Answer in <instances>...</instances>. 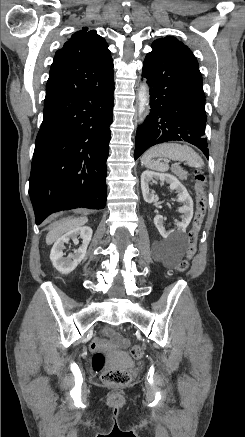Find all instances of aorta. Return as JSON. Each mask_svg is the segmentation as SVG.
Instances as JSON below:
<instances>
[{
    "mask_svg": "<svg viewBox=\"0 0 245 437\" xmlns=\"http://www.w3.org/2000/svg\"><path fill=\"white\" fill-rule=\"evenodd\" d=\"M138 101H139V106H138L139 119L143 120L146 106L149 103V90H148V86L145 83H142L140 85L138 91Z\"/></svg>",
    "mask_w": 245,
    "mask_h": 437,
    "instance_id": "1",
    "label": "aorta"
}]
</instances>
